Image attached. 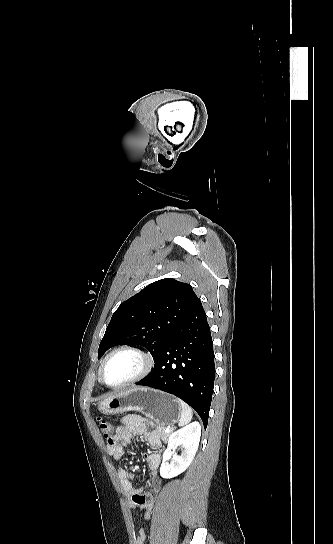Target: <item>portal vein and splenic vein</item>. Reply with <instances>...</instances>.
Instances as JSON below:
<instances>
[{"label":"portal vein and splenic vein","mask_w":333,"mask_h":544,"mask_svg":"<svg viewBox=\"0 0 333 544\" xmlns=\"http://www.w3.org/2000/svg\"><path fill=\"white\" fill-rule=\"evenodd\" d=\"M170 431H171V430H170V427H167V428L165 429V432H167V433H169Z\"/></svg>","instance_id":"18ae733b"}]
</instances>
